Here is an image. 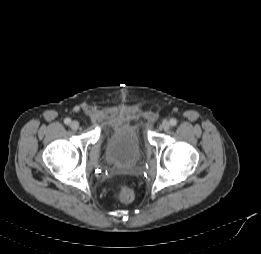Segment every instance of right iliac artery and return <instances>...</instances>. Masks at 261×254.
I'll use <instances>...</instances> for the list:
<instances>
[{"label": "right iliac artery", "instance_id": "1", "mask_svg": "<svg viewBox=\"0 0 261 254\" xmlns=\"http://www.w3.org/2000/svg\"><path fill=\"white\" fill-rule=\"evenodd\" d=\"M64 123L67 124V125H69V124L71 123V119H70V118H66V119L64 120Z\"/></svg>", "mask_w": 261, "mask_h": 254}]
</instances>
